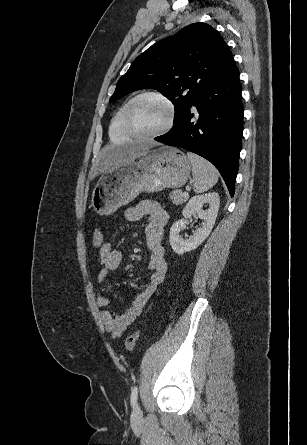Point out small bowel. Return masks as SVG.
<instances>
[{
  "instance_id": "small-bowel-1",
  "label": "small bowel",
  "mask_w": 307,
  "mask_h": 445,
  "mask_svg": "<svg viewBox=\"0 0 307 445\" xmlns=\"http://www.w3.org/2000/svg\"><path fill=\"white\" fill-rule=\"evenodd\" d=\"M143 217H147L145 236L147 248L150 251L148 268L152 271V274L148 285L136 293L130 306L125 311L121 313L109 309L102 311V322L106 330L114 338L120 337L141 315L147 302L163 282L167 271L162 238L168 215L159 203L150 200L140 202L125 211V218L128 221H139ZM121 261L122 253L119 250L113 249L110 243H105L99 250V262L101 265L97 276L99 283H106L109 276L117 271ZM97 303L99 306L106 308L110 305V299L107 295L101 294L97 298Z\"/></svg>"
}]
</instances>
